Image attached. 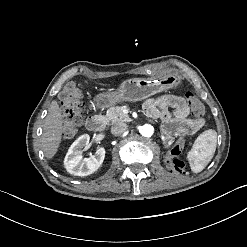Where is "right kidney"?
Here are the masks:
<instances>
[{
    "instance_id": "obj_1",
    "label": "right kidney",
    "mask_w": 247,
    "mask_h": 247,
    "mask_svg": "<svg viewBox=\"0 0 247 247\" xmlns=\"http://www.w3.org/2000/svg\"><path fill=\"white\" fill-rule=\"evenodd\" d=\"M90 136L84 134L80 136L70 147L65 156V169L76 176H88L97 171L105 159V148L98 146L94 155L88 158L83 157V151L89 147Z\"/></svg>"
}]
</instances>
